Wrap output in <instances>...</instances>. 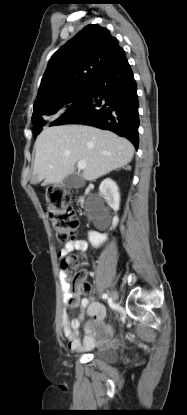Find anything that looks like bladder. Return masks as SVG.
<instances>
[{"mask_svg":"<svg viewBox=\"0 0 187 415\" xmlns=\"http://www.w3.org/2000/svg\"><path fill=\"white\" fill-rule=\"evenodd\" d=\"M93 356L104 362L112 363L118 360L120 349L118 347L99 348L93 353Z\"/></svg>","mask_w":187,"mask_h":415,"instance_id":"31cf9c89","label":"bladder"}]
</instances>
